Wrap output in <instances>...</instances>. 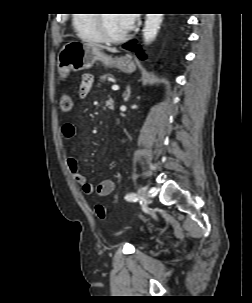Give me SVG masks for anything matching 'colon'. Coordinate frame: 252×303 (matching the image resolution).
<instances>
[{"instance_id": "1", "label": "colon", "mask_w": 252, "mask_h": 303, "mask_svg": "<svg viewBox=\"0 0 252 303\" xmlns=\"http://www.w3.org/2000/svg\"><path fill=\"white\" fill-rule=\"evenodd\" d=\"M59 104L61 111L64 113H68L73 109V101L69 94H62L59 99ZM94 212L98 219L104 220L106 218V209L102 204L96 203Z\"/></svg>"}]
</instances>
